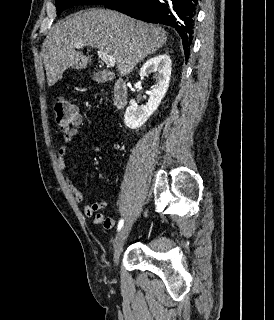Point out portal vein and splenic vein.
<instances>
[{"mask_svg":"<svg viewBox=\"0 0 274 320\" xmlns=\"http://www.w3.org/2000/svg\"><path fill=\"white\" fill-rule=\"evenodd\" d=\"M81 46H84V44H78L76 48H81ZM97 56L102 62H105L107 68H114L116 64V58H114V56H109V54H105V52H101V50H98Z\"/></svg>","mask_w":274,"mask_h":320,"instance_id":"1","label":"portal vein and splenic vein"}]
</instances>
